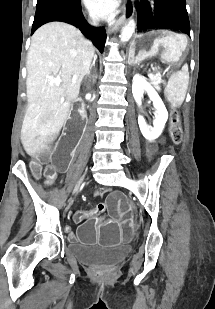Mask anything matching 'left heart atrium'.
Masks as SVG:
<instances>
[{
    "mask_svg": "<svg viewBox=\"0 0 215 309\" xmlns=\"http://www.w3.org/2000/svg\"><path fill=\"white\" fill-rule=\"evenodd\" d=\"M89 7L92 12H117V5H109L108 0H89Z\"/></svg>",
    "mask_w": 215,
    "mask_h": 309,
    "instance_id": "obj_1",
    "label": "left heart atrium"
}]
</instances>
